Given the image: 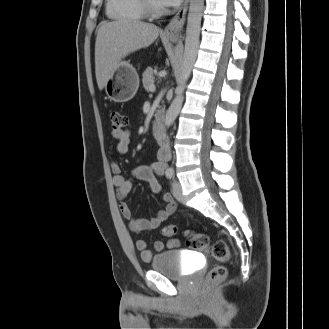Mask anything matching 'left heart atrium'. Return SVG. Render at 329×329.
Masks as SVG:
<instances>
[{"instance_id": "1", "label": "left heart atrium", "mask_w": 329, "mask_h": 329, "mask_svg": "<svg viewBox=\"0 0 329 329\" xmlns=\"http://www.w3.org/2000/svg\"><path fill=\"white\" fill-rule=\"evenodd\" d=\"M163 6L171 7L177 6L181 2V0H160Z\"/></svg>"}]
</instances>
